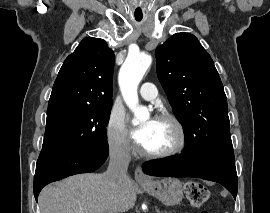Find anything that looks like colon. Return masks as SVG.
Here are the masks:
<instances>
[{"label": "colon", "instance_id": "colon-1", "mask_svg": "<svg viewBox=\"0 0 270 213\" xmlns=\"http://www.w3.org/2000/svg\"><path fill=\"white\" fill-rule=\"evenodd\" d=\"M184 192L189 202L194 207H199L208 198L207 188L200 182L189 181L184 186ZM202 213H209L208 211H202Z\"/></svg>", "mask_w": 270, "mask_h": 213}]
</instances>
